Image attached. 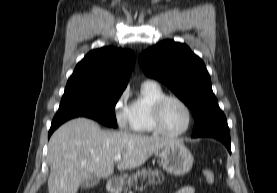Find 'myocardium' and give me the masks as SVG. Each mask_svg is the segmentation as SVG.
Returning a JSON list of instances; mask_svg holds the SVG:
<instances>
[{
	"label": "myocardium",
	"instance_id": "f54148a6",
	"mask_svg": "<svg viewBox=\"0 0 277 193\" xmlns=\"http://www.w3.org/2000/svg\"><path fill=\"white\" fill-rule=\"evenodd\" d=\"M168 100H175V101L179 102L187 112V117H188L187 124L180 131H176V132L168 131L165 129V127L163 125L162 109H163L164 104ZM152 120H153V126H154L156 133H159L161 135L168 136V137H178V136L185 134L191 128L192 123H193V114H192V110H191L190 106L181 97H179L177 95H172V94H165L164 96L160 97L154 103L153 108H152Z\"/></svg>",
	"mask_w": 277,
	"mask_h": 193
}]
</instances>
